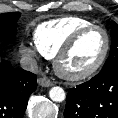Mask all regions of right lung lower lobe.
<instances>
[{
    "mask_svg": "<svg viewBox=\"0 0 118 118\" xmlns=\"http://www.w3.org/2000/svg\"><path fill=\"white\" fill-rule=\"evenodd\" d=\"M36 75L12 67L8 61L0 65V118H23L29 96L36 90Z\"/></svg>",
    "mask_w": 118,
    "mask_h": 118,
    "instance_id": "right-lung-lower-lobe-1",
    "label": "right lung lower lobe"
}]
</instances>
